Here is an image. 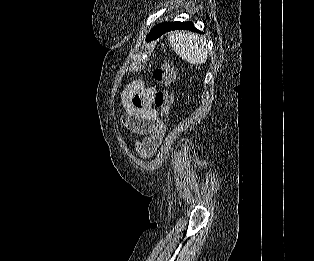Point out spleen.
Listing matches in <instances>:
<instances>
[{
    "label": "spleen",
    "instance_id": "1",
    "mask_svg": "<svg viewBox=\"0 0 314 261\" xmlns=\"http://www.w3.org/2000/svg\"><path fill=\"white\" fill-rule=\"evenodd\" d=\"M170 45L183 60L200 65L208 58L207 43L196 34L175 32L169 35Z\"/></svg>",
    "mask_w": 314,
    "mask_h": 261
}]
</instances>
